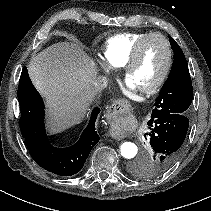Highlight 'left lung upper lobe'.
<instances>
[{"label": "left lung upper lobe", "instance_id": "1", "mask_svg": "<svg viewBox=\"0 0 211 211\" xmlns=\"http://www.w3.org/2000/svg\"><path fill=\"white\" fill-rule=\"evenodd\" d=\"M169 39L174 52L173 65L156 99L152 115L169 112L187 116L193 99L191 77L181 48L171 36ZM143 171L149 176L147 167Z\"/></svg>", "mask_w": 211, "mask_h": 211}]
</instances>
